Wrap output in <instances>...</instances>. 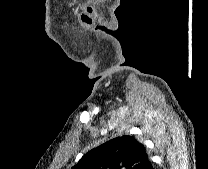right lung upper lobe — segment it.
Instances as JSON below:
<instances>
[{"label":"right lung upper lobe","mask_w":208,"mask_h":169,"mask_svg":"<svg viewBox=\"0 0 208 169\" xmlns=\"http://www.w3.org/2000/svg\"><path fill=\"white\" fill-rule=\"evenodd\" d=\"M144 146L131 136L113 138L88 151L71 169H149Z\"/></svg>","instance_id":"obj_1"}]
</instances>
